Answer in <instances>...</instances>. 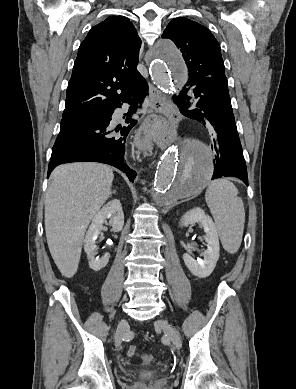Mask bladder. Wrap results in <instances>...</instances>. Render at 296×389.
Returning a JSON list of instances; mask_svg holds the SVG:
<instances>
[{
	"label": "bladder",
	"instance_id": "1",
	"mask_svg": "<svg viewBox=\"0 0 296 389\" xmlns=\"http://www.w3.org/2000/svg\"><path fill=\"white\" fill-rule=\"evenodd\" d=\"M143 375L146 377H151L154 375V373L153 372H145V373H143Z\"/></svg>",
	"mask_w": 296,
	"mask_h": 389
}]
</instances>
